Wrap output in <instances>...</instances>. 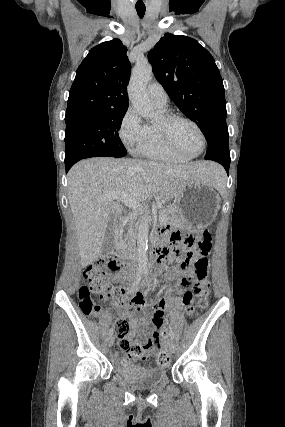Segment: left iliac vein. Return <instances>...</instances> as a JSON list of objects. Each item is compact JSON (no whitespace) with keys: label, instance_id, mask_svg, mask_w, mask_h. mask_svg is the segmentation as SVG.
Returning a JSON list of instances; mask_svg holds the SVG:
<instances>
[{"label":"left iliac vein","instance_id":"1","mask_svg":"<svg viewBox=\"0 0 285 427\" xmlns=\"http://www.w3.org/2000/svg\"><path fill=\"white\" fill-rule=\"evenodd\" d=\"M169 348L171 353H175L177 351V345L173 340L169 342Z\"/></svg>","mask_w":285,"mask_h":427}]
</instances>
